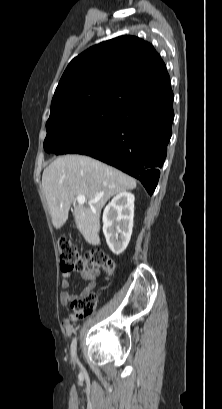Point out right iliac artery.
I'll use <instances>...</instances> for the list:
<instances>
[{
    "mask_svg": "<svg viewBox=\"0 0 222 409\" xmlns=\"http://www.w3.org/2000/svg\"><path fill=\"white\" fill-rule=\"evenodd\" d=\"M76 346H77V340H76V338H74L73 341H72V344H71V357H72L73 361L77 360Z\"/></svg>",
    "mask_w": 222,
    "mask_h": 409,
    "instance_id": "1",
    "label": "right iliac artery"
}]
</instances>
